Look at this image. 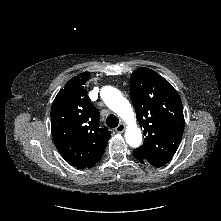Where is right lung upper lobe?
Returning <instances> with one entry per match:
<instances>
[{
	"label": "right lung upper lobe",
	"mask_w": 221,
	"mask_h": 221,
	"mask_svg": "<svg viewBox=\"0 0 221 221\" xmlns=\"http://www.w3.org/2000/svg\"><path fill=\"white\" fill-rule=\"evenodd\" d=\"M90 72L71 78L51 107V130L61 156L78 169L93 167L102 157L111 132L99 127V111L84 85Z\"/></svg>",
	"instance_id": "1"
}]
</instances>
